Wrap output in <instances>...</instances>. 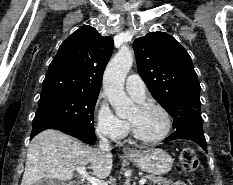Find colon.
I'll return each mask as SVG.
<instances>
[{
    "instance_id": "colon-1",
    "label": "colon",
    "mask_w": 233,
    "mask_h": 185,
    "mask_svg": "<svg viewBox=\"0 0 233 185\" xmlns=\"http://www.w3.org/2000/svg\"><path fill=\"white\" fill-rule=\"evenodd\" d=\"M198 159L195 151L190 147H185L181 150L177 170L184 175H190L196 169Z\"/></svg>"
}]
</instances>
